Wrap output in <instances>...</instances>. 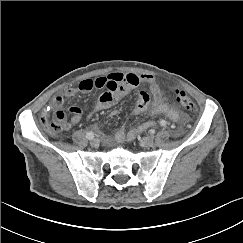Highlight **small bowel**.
I'll return each mask as SVG.
<instances>
[{
    "label": "small bowel",
    "instance_id": "small-bowel-1",
    "mask_svg": "<svg viewBox=\"0 0 243 243\" xmlns=\"http://www.w3.org/2000/svg\"><path fill=\"white\" fill-rule=\"evenodd\" d=\"M139 84L148 85L149 93H139L134 115H139L149 110L150 113L155 115L165 114L172 121H178L180 119L179 112L165 102L160 86L154 76L150 74L136 75L133 73H111L107 76H101L95 79H82L76 87L67 88L62 94L57 95L52 100L51 104L43 110V114H49L52 110L60 108L64 103L65 97H74L77 94L89 93L93 89H101L102 93L99 95L93 108L87 114L84 115V111L80 106H70L69 111L72 116L70 121L66 123L67 129H69L72 125L78 124L83 118L90 120L98 111L117 104L130 90L134 89ZM117 113L118 111L114 112V114ZM151 124V122H146L129 131H126V129L122 127L117 131L115 139L118 142L132 140L139 133L151 126ZM94 128L99 131V127L96 124H94Z\"/></svg>",
    "mask_w": 243,
    "mask_h": 243
}]
</instances>
